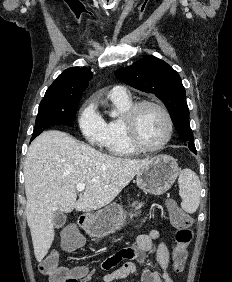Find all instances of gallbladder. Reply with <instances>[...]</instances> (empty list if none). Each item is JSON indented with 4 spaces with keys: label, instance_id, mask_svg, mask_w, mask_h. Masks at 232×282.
Returning a JSON list of instances; mask_svg holds the SVG:
<instances>
[{
    "label": "gallbladder",
    "instance_id": "bac80fb5",
    "mask_svg": "<svg viewBox=\"0 0 232 282\" xmlns=\"http://www.w3.org/2000/svg\"><path fill=\"white\" fill-rule=\"evenodd\" d=\"M67 216L62 211L54 213L53 224L56 228L62 227L66 223Z\"/></svg>",
    "mask_w": 232,
    "mask_h": 282
}]
</instances>
